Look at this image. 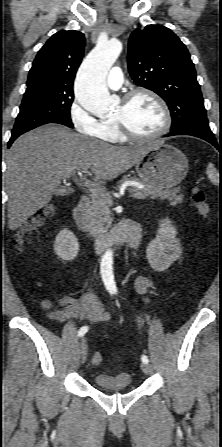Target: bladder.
Masks as SVG:
<instances>
[{
  "label": "bladder",
  "mask_w": 222,
  "mask_h": 447,
  "mask_svg": "<svg viewBox=\"0 0 222 447\" xmlns=\"http://www.w3.org/2000/svg\"><path fill=\"white\" fill-rule=\"evenodd\" d=\"M94 381L100 389L111 392L127 390L132 387L131 375L125 371L113 374L100 372L94 376Z\"/></svg>",
  "instance_id": "1"
}]
</instances>
